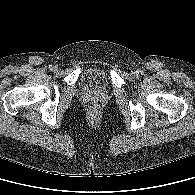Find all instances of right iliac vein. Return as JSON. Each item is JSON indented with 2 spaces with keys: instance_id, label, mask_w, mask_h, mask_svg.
I'll list each match as a JSON object with an SVG mask.
<instances>
[{
  "instance_id": "obj_1",
  "label": "right iliac vein",
  "mask_w": 195,
  "mask_h": 195,
  "mask_svg": "<svg viewBox=\"0 0 195 195\" xmlns=\"http://www.w3.org/2000/svg\"><path fill=\"white\" fill-rule=\"evenodd\" d=\"M54 71H56V72L58 71V67L57 66L54 67Z\"/></svg>"
}]
</instances>
